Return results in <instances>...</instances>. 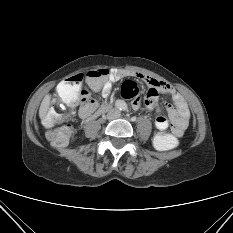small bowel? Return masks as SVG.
<instances>
[{"label":"small bowel","instance_id":"1","mask_svg":"<svg viewBox=\"0 0 233 233\" xmlns=\"http://www.w3.org/2000/svg\"><path fill=\"white\" fill-rule=\"evenodd\" d=\"M126 77H135L148 87V92L143 102L140 99L137 85L129 96L132 108L135 110H150L156 107L159 94L170 96L173 104H166L170 122L164 115L159 114L155 119V126L159 131L163 132L170 125L172 133L177 137H181L188 125L189 109L184 98L170 84L149 75L134 73L125 69H113L101 87L102 96L107 100L111 99L113 85ZM95 108V103L88 104L83 102L79 107L78 114L82 119H89L93 116Z\"/></svg>","mask_w":233,"mask_h":233}]
</instances>
